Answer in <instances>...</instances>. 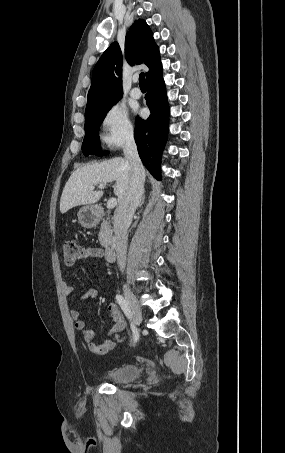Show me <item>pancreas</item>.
<instances>
[{
    "instance_id": "1",
    "label": "pancreas",
    "mask_w": 285,
    "mask_h": 453,
    "mask_svg": "<svg viewBox=\"0 0 285 453\" xmlns=\"http://www.w3.org/2000/svg\"><path fill=\"white\" fill-rule=\"evenodd\" d=\"M112 229L110 223L107 220H104L101 223L100 232L98 235L99 242L102 246H106L111 239Z\"/></svg>"
}]
</instances>
